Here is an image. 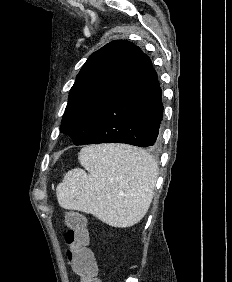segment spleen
<instances>
[{"instance_id": "spleen-1", "label": "spleen", "mask_w": 232, "mask_h": 282, "mask_svg": "<svg viewBox=\"0 0 232 282\" xmlns=\"http://www.w3.org/2000/svg\"><path fill=\"white\" fill-rule=\"evenodd\" d=\"M81 169L69 171L56 188L64 209L90 213L114 227H130L147 213L158 166L145 150L127 145H94L81 149Z\"/></svg>"}]
</instances>
